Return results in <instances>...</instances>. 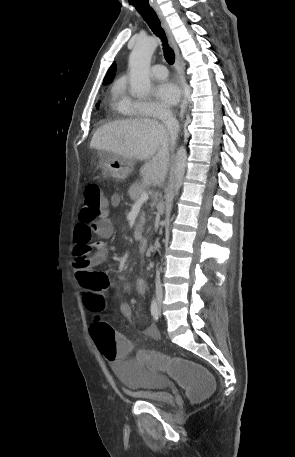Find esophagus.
Segmentation results:
<instances>
[{
  "mask_svg": "<svg viewBox=\"0 0 295 457\" xmlns=\"http://www.w3.org/2000/svg\"><path fill=\"white\" fill-rule=\"evenodd\" d=\"M153 9L154 11L156 12L160 22H161V25L163 27V29L165 30L166 34H167V37L169 39V42L174 50V54H175V69H176V72L178 74V77H179V81H180V87H181V91H182V102H181V105H180V112H179V115L180 117L183 116V114L185 113L186 111V108H187V105H188V100H187V95L185 93V75H184V70H183V65H182V61H181V56H180V52H179V49H178V46L176 44V41L172 35V32H171V29L166 21V18L165 16L163 15L161 9L159 8V6L157 5H153Z\"/></svg>",
  "mask_w": 295,
  "mask_h": 457,
  "instance_id": "1",
  "label": "esophagus"
}]
</instances>
